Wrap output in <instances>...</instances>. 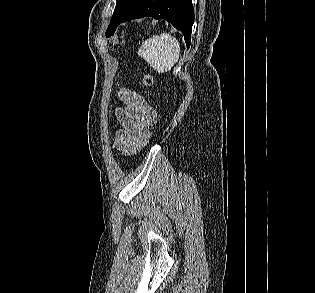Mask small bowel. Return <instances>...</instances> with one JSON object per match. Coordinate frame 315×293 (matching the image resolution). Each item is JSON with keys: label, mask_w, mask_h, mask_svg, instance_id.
Here are the masks:
<instances>
[{"label": "small bowel", "mask_w": 315, "mask_h": 293, "mask_svg": "<svg viewBox=\"0 0 315 293\" xmlns=\"http://www.w3.org/2000/svg\"><path fill=\"white\" fill-rule=\"evenodd\" d=\"M125 103L124 108L115 112L120 128L116 131L114 148L124 155H129L139 149L140 144L151 127L156 122L154 109L138 94H120Z\"/></svg>", "instance_id": "small-bowel-1"}]
</instances>
